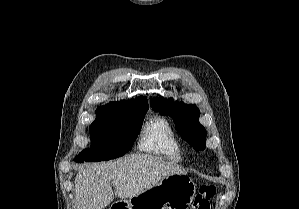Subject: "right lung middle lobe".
<instances>
[{"label": "right lung middle lobe", "instance_id": "obj_1", "mask_svg": "<svg viewBox=\"0 0 299 209\" xmlns=\"http://www.w3.org/2000/svg\"><path fill=\"white\" fill-rule=\"evenodd\" d=\"M145 114H97L90 126L92 147L76 156L75 161H107L126 154L141 130Z\"/></svg>", "mask_w": 299, "mask_h": 209}]
</instances>
